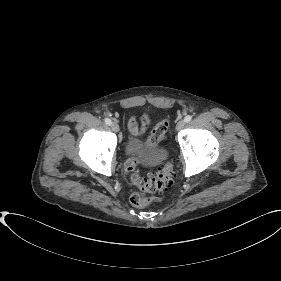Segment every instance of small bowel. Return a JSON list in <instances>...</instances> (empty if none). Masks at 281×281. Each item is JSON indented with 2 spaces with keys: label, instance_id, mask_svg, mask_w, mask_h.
Instances as JSON below:
<instances>
[{
  "label": "small bowel",
  "instance_id": "c3829d8e",
  "mask_svg": "<svg viewBox=\"0 0 281 281\" xmlns=\"http://www.w3.org/2000/svg\"><path fill=\"white\" fill-rule=\"evenodd\" d=\"M149 126V119L147 116H143L141 118V122L140 125H138L135 117H131L128 121V128L129 131L133 134V135H142L146 129Z\"/></svg>",
  "mask_w": 281,
  "mask_h": 281
}]
</instances>
